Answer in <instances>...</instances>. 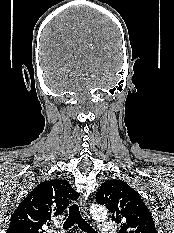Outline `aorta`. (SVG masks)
<instances>
[{
	"label": "aorta",
	"mask_w": 174,
	"mask_h": 233,
	"mask_svg": "<svg viewBox=\"0 0 174 233\" xmlns=\"http://www.w3.org/2000/svg\"><path fill=\"white\" fill-rule=\"evenodd\" d=\"M90 213L96 220H105L107 218L108 212L103 205H92L90 208Z\"/></svg>",
	"instance_id": "1"
}]
</instances>
